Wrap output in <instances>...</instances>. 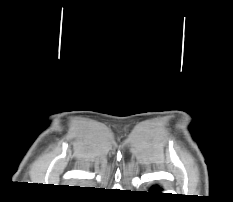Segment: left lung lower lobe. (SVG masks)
Masks as SVG:
<instances>
[{"instance_id":"left-lung-lower-lobe-1","label":"left lung lower lobe","mask_w":233,"mask_h":202,"mask_svg":"<svg viewBox=\"0 0 233 202\" xmlns=\"http://www.w3.org/2000/svg\"><path fill=\"white\" fill-rule=\"evenodd\" d=\"M160 191H161L160 187H158V186H153V187H152V192H151V194H152L153 196H156V197L163 196V195L160 193Z\"/></svg>"}]
</instances>
